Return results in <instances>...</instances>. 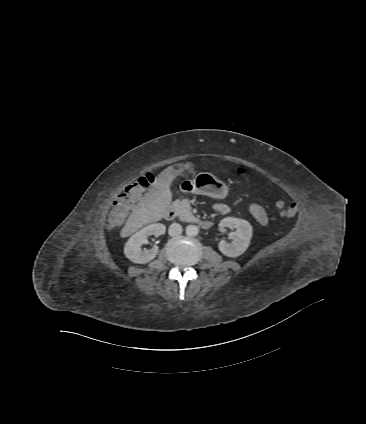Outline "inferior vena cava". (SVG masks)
<instances>
[{
  "instance_id": "obj_1",
  "label": "inferior vena cava",
  "mask_w": 366,
  "mask_h": 424,
  "mask_svg": "<svg viewBox=\"0 0 366 424\" xmlns=\"http://www.w3.org/2000/svg\"><path fill=\"white\" fill-rule=\"evenodd\" d=\"M170 236H178L182 233V226L178 223H172L168 229Z\"/></svg>"
}]
</instances>
